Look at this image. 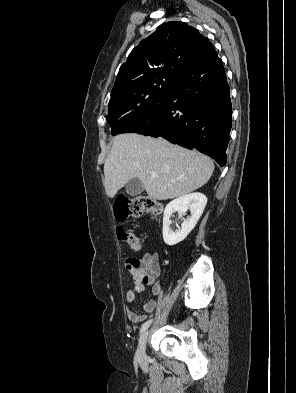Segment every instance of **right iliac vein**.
I'll use <instances>...</instances> for the list:
<instances>
[{"instance_id": "obj_1", "label": "right iliac vein", "mask_w": 296, "mask_h": 393, "mask_svg": "<svg viewBox=\"0 0 296 393\" xmlns=\"http://www.w3.org/2000/svg\"><path fill=\"white\" fill-rule=\"evenodd\" d=\"M148 337V331H144L139 338L138 348L136 352V357L139 361H143L145 359V350H146V342Z\"/></svg>"}]
</instances>
